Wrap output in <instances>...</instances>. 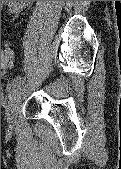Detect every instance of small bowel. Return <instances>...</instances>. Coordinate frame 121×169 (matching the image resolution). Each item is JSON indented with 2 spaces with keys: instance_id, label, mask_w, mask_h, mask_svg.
<instances>
[{
  "instance_id": "1",
  "label": "small bowel",
  "mask_w": 121,
  "mask_h": 169,
  "mask_svg": "<svg viewBox=\"0 0 121 169\" xmlns=\"http://www.w3.org/2000/svg\"><path fill=\"white\" fill-rule=\"evenodd\" d=\"M10 4L12 11H18L27 6L31 1H4Z\"/></svg>"
}]
</instances>
